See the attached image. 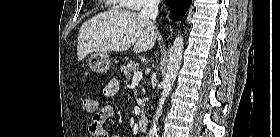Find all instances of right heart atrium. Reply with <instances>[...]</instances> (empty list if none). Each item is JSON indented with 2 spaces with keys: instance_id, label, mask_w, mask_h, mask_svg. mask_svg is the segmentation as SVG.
<instances>
[{
  "instance_id": "1",
  "label": "right heart atrium",
  "mask_w": 280,
  "mask_h": 137,
  "mask_svg": "<svg viewBox=\"0 0 280 137\" xmlns=\"http://www.w3.org/2000/svg\"><path fill=\"white\" fill-rule=\"evenodd\" d=\"M135 9H145L152 5V0H133Z\"/></svg>"
}]
</instances>
